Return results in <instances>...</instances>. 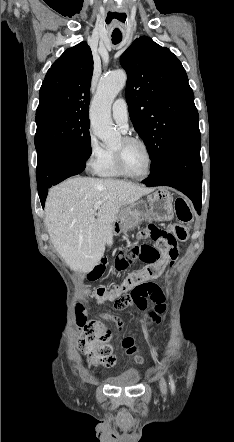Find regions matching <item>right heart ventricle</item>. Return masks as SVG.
Instances as JSON below:
<instances>
[{
	"mask_svg": "<svg viewBox=\"0 0 234 442\" xmlns=\"http://www.w3.org/2000/svg\"><path fill=\"white\" fill-rule=\"evenodd\" d=\"M97 173L106 178H117L121 176L116 168L114 152L112 149H106L104 161Z\"/></svg>",
	"mask_w": 234,
	"mask_h": 442,
	"instance_id": "obj_1",
	"label": "right heart ventricle"
}]
</instances>
